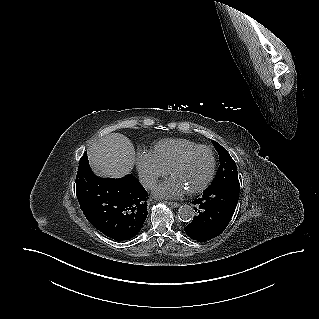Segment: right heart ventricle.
Here are the masks:
<instances>
[{
    "label": "right heart ventricle",
    "mask_w": 319,
    "mask_h": 319,
    "mask_svg": "<svg viewBox=\"0 0 319 319\" xmlns=\"http://www.w3.org/2000/svg\"><path fill=\"white\" fill-rule=\"evenodd\" d=\"M199 144L185 138H169L155 142L149 153L165 170L186 150Z\"/></svg>",
    "instance_id": "obj_1"
}]
</instances>
